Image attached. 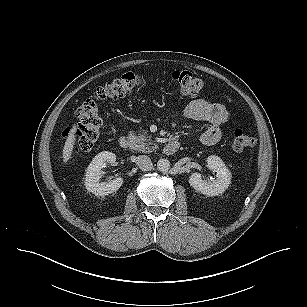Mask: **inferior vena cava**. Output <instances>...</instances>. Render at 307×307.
<instances>
[{
    "label": "inferior vena cava",
    "instance_id": "obj_1",
    "mask_svg": "<svg viewBox=\"0 0 307 307\" xmlns=\"http://www.w3.org/2000/svg\"><path fill=\"white\" fill-rule=\"evenodd\" d=\"M136 164L142 171H148L153 167L151 159L146 155H140L136 158Z\"/></svg>",
    "mask_w": 307,
    "mask_h": 307
}]
</instances>
